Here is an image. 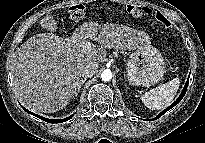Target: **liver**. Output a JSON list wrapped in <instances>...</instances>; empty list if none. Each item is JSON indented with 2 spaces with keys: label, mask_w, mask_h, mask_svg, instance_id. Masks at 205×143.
<instances>
[{
  "label": "liver",
  "mask_w": 205,
  "mask_h": 143,
  "mask_svg": "<svg viewBox=\"0 0 205 143\" xmlns=\"http://www.w3.org/2000/svg\"><path fill=\"white\" fill-rule=\"evenodd\" d=\"M84 39L99 44L83 48ZM145 32L125 25L83 23L71 37L40 33L25 41L13 55L12 81L20 102L37 112L53 113L67 106L80 83L81 69L102 63L106 49L135 50L150 45Z\"/></svg>",
  "instance_id": "6515ba94"
}]
</instances>
